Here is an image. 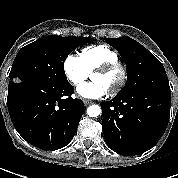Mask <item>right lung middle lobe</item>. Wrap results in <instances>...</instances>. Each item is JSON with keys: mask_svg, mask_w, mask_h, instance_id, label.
<instances>
[{"mask_svg": "<svg viewBox=\"0 0 178 178\" xmlns=\"http://www.w3.org/2000/svg\"><path fill=\"white\" fill-rule=\"evenodd\" d=\"M88 42V37L50 35L24 46L13 62L10 82L66 80L64 61L75 48Z\"/></svg>", "mask_w": 178, "mask_h": 178, "instance_id": "obj_1", "label": "right lung middle lobe"}]
</instances>
